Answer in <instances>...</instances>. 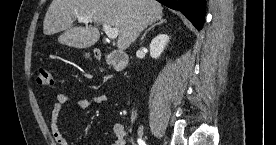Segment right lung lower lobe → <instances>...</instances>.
Masks as SVG:
<instances>
[{
  "mask_svg": "<svg viewBox=\"0 0 276 145\" xmlns=\"http://www.w3.org/2000/svg\"><path fill=\"white\" fill-rule=\"evenodd\" d=\"M167 7L181 11L186 18L201 30L204 24L206 0H157Z\"/></svg>",
  "mask_w": 276,
  "mask_h": 145,
  "instance_id": "obj_1",
  "label": "right lung lower lobe"
}]
</instances>
